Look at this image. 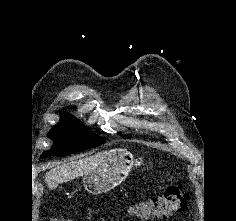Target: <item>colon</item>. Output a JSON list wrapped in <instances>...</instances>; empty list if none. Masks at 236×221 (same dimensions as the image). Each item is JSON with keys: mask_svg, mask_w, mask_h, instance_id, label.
Listing matches in <instances>:
<instances>
[{"mask_svg": "<svg viewBox=\"0 0 236 221\" xmlns=\"http://www.w3.org/2000/svg\"><path fill=\"white\" fill-rule=\"evenodd\" d=\"M189 200V194L182 185L169 187L163 195L148 198L134 204L130 213L142 221L150 218H166L173 213L182 211ZM50 221H73L66 218H54Z\"/></svg>", "mask_w": 236, "mask_h": 221, "instance_id": "colon-1", "label": "colon"}]
</instances>
